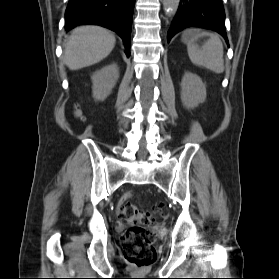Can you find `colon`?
I'll return each mask as SVG.
<instances>
[{"label": "colon", "instance_id": "1", "mask_svg": "<svg viewBox=\"0 0 279 279\" xmlns=\"http://www.w3.org/2000/svg\"><path fill=\"white\" fill-rule=\"evenodd\" d=\"M75 115L80 119L83 118L78 109H76ZM118 209L121 218L129 224L121 236L124 258L138 267L153 264L157 259V251L154 246L157 236L152 229L144 225L151 224L156 220L161 206L154 205L145 209L131 202H124Z\"/></svg>", "mask_w": 279, "mask_h": 279}]
</instances>
